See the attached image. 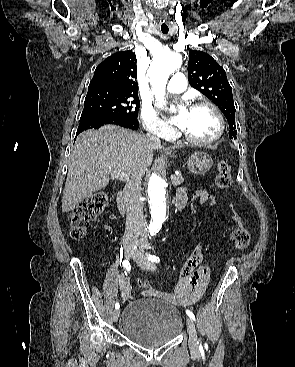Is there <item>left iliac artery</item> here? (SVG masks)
Wrapping results in <instances>:
<instances>
[{
  "label": "left iliac artery",
  "mask_w": 295,
  "mask_h": 367,
  "mask_svg": "<svg viewBox=\"0 0 295 367\" xmlns=\"http://www.w3.org/2000/svg\"><path fill=\"white\" fill-rule=\"evenodd\" d=\"M147 259L149 260V261H151V262H156V263H158V262H160V259H159V257H157V256H155V255H147ZM186 313H187V315L191 318V319H193V320H195V316H194V314L190 311V310H186ZM204 346L205 347H207V344H204Z\"/></svg>",
  "instance_id": "1"
}]
</instances>
